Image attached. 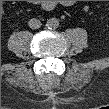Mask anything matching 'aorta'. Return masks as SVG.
I'll use <instances>...</instances> for the list:
<instances>
[{
    "instance_id": "obj_1",
    "label": "aorta",
    "mask_w": 109,
    "mask_h": 109,
    "mask_svg": "<svg viewBox=\"0 0 109 109\" xmlns=\"http://www.w3.org/2000/svg\"><path fill=\"white\" fill-rule=\"evenodd\" d=\"M46 26L49 29H56L59 26V20L57 18H50L47 20Z\"/></svg>"
}]
</instances>
